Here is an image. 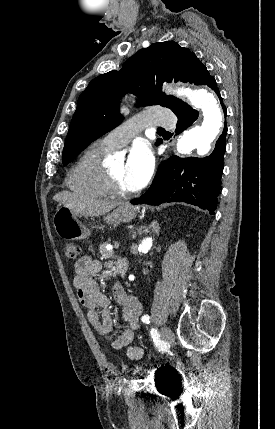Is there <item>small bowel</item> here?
Returning a JSON list of instances; mask_svg holds the SVG:
<instances>
[{"instance_id":"c3829d8e","label":"small bowel","mask_w":275,"mask_h":429,"mask_svg":"<svg viewBox=\"0 0 275 429\" xmlns=\"http://www.w3.org/2000/svg\"><path fill=\"white\" fill-rule=\"evenodd\" d=\"M103 264L91 258L83 256L75 263V276L73 284L77 290L80 303L87 309V317L95 330L111 341L116 350L127 348V356L132 360H139L144 356L143 348L131 346L134 332L138 328L142 307L139 300L128 294L119 284H114L113 297L120 305V318L128 326L120 330H114L113 319L109 310L110 299L102 293L94 277L103 269Z\"/></svg>"}]
</instances>
